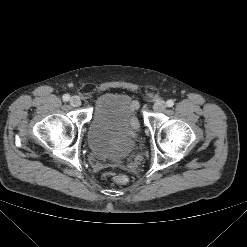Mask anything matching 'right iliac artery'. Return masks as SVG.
Here are the masks:
<instances>
[{"label": "right iliac artery", "mask_w": 247, "mask_h": 247, "mask_svg": "<svg viewBox=\"0 0 247 247\" xmlns=\"http://www.w3.org/2000/svg\"><path fill=\"white\" fill-rule=\"evenodd\" d=\"M62 98H63V101H68L70 99V95L65 94V95H63Z\"/></svg>", "instance_id": "1"}]
</instances>
